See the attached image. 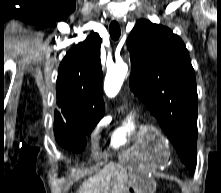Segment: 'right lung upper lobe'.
I'll return each mask as SVG.
<instances>
[{"label":"right lung upper lobe","mask_w":221,"mask_h":193,"mask_svg":"<svg viewBox=\"0 0 221 193\" xmlns=\"http://www.w3.org/2000/svg\"><path fill=\"white\" fill-rule=\"evenodd\" d=\"M100 45V36L92 33L66 53L58 70L56 89L61 113L56 111L55 119L103 117Z\"/></svg>","instance_id":"cb5924a9"}]
</instances>
